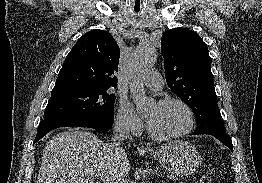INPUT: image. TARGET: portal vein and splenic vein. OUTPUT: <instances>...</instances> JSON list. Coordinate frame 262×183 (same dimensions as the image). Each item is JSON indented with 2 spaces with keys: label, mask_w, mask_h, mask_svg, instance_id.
<instances>
[{
  "label": "portal vein and splenic vein",
  "mask_w": 262,
  "mask_h": 183,
  "mask_svg": "<svg viewBox=\"0 0 262 183\" xmlns=\"http://www.w3.org/2000/svg\"><path fill=\"white\" fill-rule=\"evenodd\" d=\"M96 179L103 181L104 183H128L126 180L118 177H112L107 174H99Z\"/></svg>",
  "instance_id": "18ae733b"
}]
</instances>
